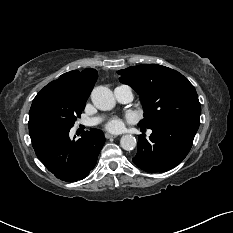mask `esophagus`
<instances>
[{
  "instance_id": "34e87169",
  "label": "esophagus",
  "mask_w": 233,
  "mask_h": 233,
  "mask_svg": "<svg viewBox=\"0 0 233 233\" xmlns=\"http://www.w3.org/2000/svg\"><path fill=\"white\" fill-rule=\"evenodd\" d=\"M105 137H106L107 139H112V138H116V135H113V134H110V133H106V134H105Z\"/></svg>"
}]
</instances>
